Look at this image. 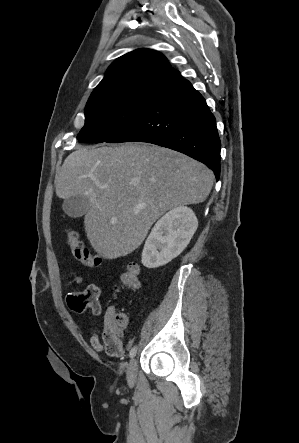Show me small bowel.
<instances>
[{
	"mask_svg": "<svg viewBox=\"0 0 299 443\" xmlns=\"http://www.w3.org/2000/svg\"><path fill=\"white\" fill-rule=\"evenodd\" d=\"M75 283H81L82 276L77 275L74 279ZM102 295V287L98 284H89L82 292L70 293L67 297V303L71 310L83 312L87 309L94 316H100L102 306L100 298ZM115 314L113 307H108L104 314V327L102 331L93 329L90 336V345L97 352H106L112 357H120L124 354V347L119 335H114L106 328V322Z\"/></svg>",
	"mask_w": 299,
	"mask_h": 443,
	"instance_id": "1",
	"label": "small bowel"
}]
</instances>
